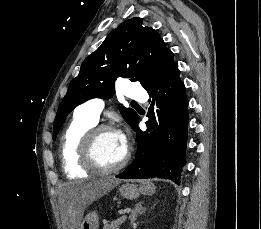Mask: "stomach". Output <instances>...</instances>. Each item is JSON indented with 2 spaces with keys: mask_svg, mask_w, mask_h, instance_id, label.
<instances>
[{
  "mask_svg": "<svg viewBox=\"0 0 261 229\" xmlns=\"http://www.w3.org/2000/svg\"><path fill=\"white\" fill-rule=\"evenodd\" d=\"M121 197L124 199H138L140 195H153L155 187L150 181H140V185H122L119 189ZM80 229H99V215L89 213L86 215Z\"/></svg>",
  "mask_w": 261,
  "mask_h": 229,
  "instance_id": "1",
  "label": "stomach"
}]
</instances>
